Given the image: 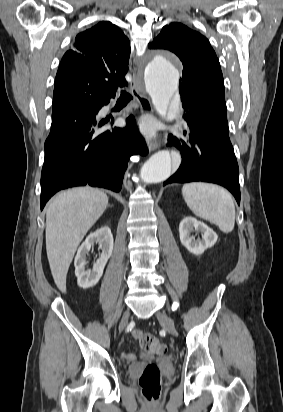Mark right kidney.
<instances>
[{
  "instance_id": "right-kidney-1",
  "label": "right kidney",
  "mask_w": 283,
  "mask_h": 412,
  "mask_svg": "<svg viewBox=\"0 0 283 412\" xmlns=\"http://www.w3.org/2000/svg\"><path fill=\"white\" fill-rule=\"evenodd\" d=\"M94 243L99 244V248L102 253L96 263H94L92 270H85L86 255ZM112 251L113 235L109 227H101L86 238V240L79 247L74 260L75 275L77 277V283L80 287L90 288L99 282L103 275L105 265L112 255Z\"/></svg>"
}]
</instances>
